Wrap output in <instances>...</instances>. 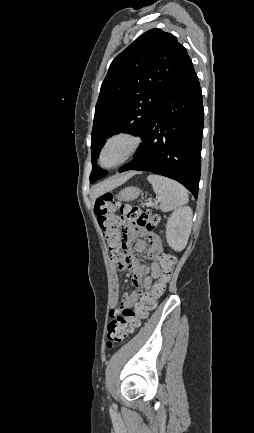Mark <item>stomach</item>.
<instances>
[{
	"instance_id": "0dacf381",
	"label": "stomach",
	"mask_w": 254,
	"mask_h": 433,
	"mask_svg": "<svg viewBox=\"0 0 254 433\" xmlns=\"http://www.w3.org/2000/svg\"><path fill=\"white\" fill-rule=\"evenodd\" d=\"M141 193L140 189L134 186H129L120 191L117 198L121 201H132L138 198Z\"/></svg>"
}]
</instances>
